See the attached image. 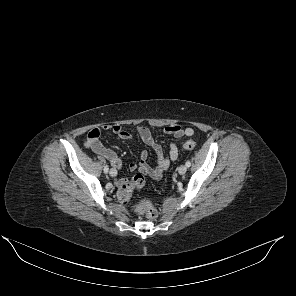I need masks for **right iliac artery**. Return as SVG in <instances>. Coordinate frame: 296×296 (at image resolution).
Masks as SVG:
<instances>
[{"label": "right iliac artery", "mask_w": 296, "mask_h": 296, "mask_svg": "<svg viewBox=\"0 0 296 296\" xmlns=\"http://www.w3.org/2000/svg\"><path fill=\"white\" fill-rule=\"evenodd\" d=\"M108 170H109V167H108V165H106V166L104 167V173H108Z\"/></svg>", "instance_id": "1"}]
</instances>
